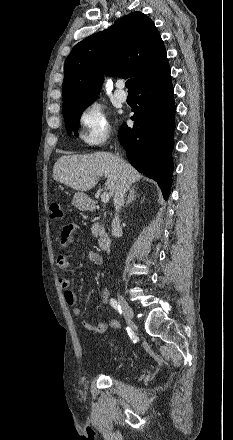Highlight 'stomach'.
<instances>
[{
    "instance_id": "obj_1",
    "label": "stomach",
    "mask_w": 233,
    "mask_h": 440,
    "mask_svg": "<svg viewBox=\"0 0 233 440\" xmlns=\"http://www.w3.org/2000/svg\"><path fill=\"white\" fill-rule=\"evenodd\" d=\"M72 204L75 208L84 211L90 209L91 200L86 194L82 192H77L74 194Z\"/></svg>"
}]
</instances>
